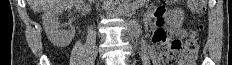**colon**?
Returning a JSON list of instances; mask_svg holds the SVG:
<instances>
[{
	"label": "colon",
	"mask_w": 232,
	"mask_h": 65,
	"mask_svg": "<svg viewBox=\"0 0 232 65\" xmlns=\"http://www.w3.org/2000/svg\"><path fill=\"white\" fill-rule=\"evenodd\" d=\"M189 8L193 17H201L206 10V0H189ZM196 34L197 29H193L185 40L171 38V36L163 38L157 35L156 55L163 62H169V64H173L179 59V65H195L199 49V40Z\"/></svg>",
	"instance_id": "1"
}]
</instances>
